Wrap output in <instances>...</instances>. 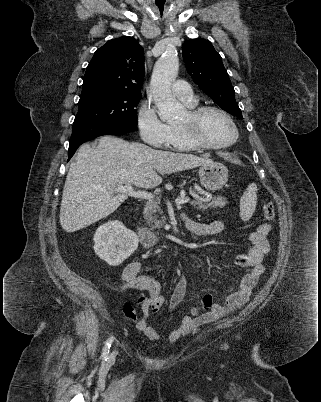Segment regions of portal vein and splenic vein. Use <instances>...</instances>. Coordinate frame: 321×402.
Instances as JSON below:
<instances>
[{"mask_svg": "<svg viewBox=\"0 0 321 402\" xmlns=\"http://www.w3.org/2000/svg\"><path fill=\"white\" fill-rule=\"evenodd\" d=\"M118 192L126 193L129 196L141 198V199H152L153 195L147 191H134L130 184H125L124 186L118 187L116 189ZM190 201L189 197H179L175 200L177 205L185 204Z\"/></svg>", "mask_w": 321, "mask_h": 402, "instance_id": "portal-vein-and-splenic-vein-1", "label": "portal vein and splenic vein"}]
</instances>
